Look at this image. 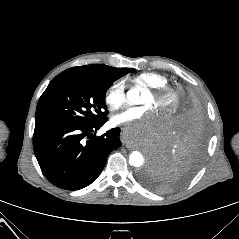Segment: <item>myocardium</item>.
<instances>
[{
	"mask_svg": "<svg viewBox=\"0 0 239 239\" xmlns=\"http://www.w3.org/2000/svg\"><path fill=\"white\" fill-rule=\"evenodd\" d=\"M148 92L154 98L159 111L165 115H172L179 107L180 95L171 87L149 88Z\"/></svg>",
	"mask_w": 239,
	"mask_h": 239,
	"instance_id": "myocardium-1",
	"label": "myocardium"
}]
</instances>
